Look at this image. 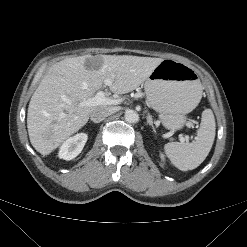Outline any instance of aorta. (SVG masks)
<instances>
[{"label": "aorta", "mask_w": 247, "mask_h": 247, "mask_svg": "<svg viewBox=\"0 0 247 247\" xmlns=\"http://www.w3.org/2000/svg\"><path fill=\"white\" fill-rule=\"evenodd\" d=\"M124 118L128 123H137L139 121V114L134 110H127Z\"/></svg>", "instance_id": "aorta-1"}]
</instances>
